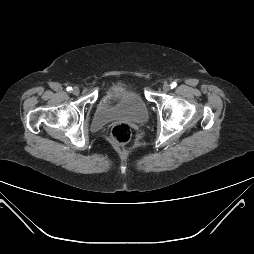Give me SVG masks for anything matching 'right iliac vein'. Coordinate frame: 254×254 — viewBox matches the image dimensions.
Wrapping results in <instances>:
<instances>
[{
  "label": "right iliac vein",
  "instance_id": "right-iliac-vein-1",
  "mask_svg": "<svg viewBox=\"0 0 254 254\" xmlns=\"http://www.w3.org/2000/svg\"><path fill=\"white\" fill-rule=\"evenodd\" d=\"M72 93L77 96L80 93V89L78 87H74Z\"/></svg>",
  "mask_w": 254,
  "mask_h": 254
}]
</instances>
